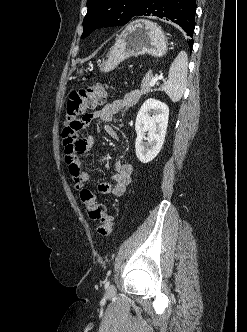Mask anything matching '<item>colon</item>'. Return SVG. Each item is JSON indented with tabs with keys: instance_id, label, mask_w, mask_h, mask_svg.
Masks as SVG:
<instances>
[{
	"instance_id": "1",
	"label": "colon",
	"mask_w": 247,
	"mask_h": 332,
	"mask_svg": "<svg viewBox=\"0 0 247 332\" xmlns=\"http://www.w3.org/2000/svg\"><path fill=\"white\" fill-rule=\"evenodd\" d=\"M108 89L106 84H96L70 93L66 102L64 138L77 133L86 125L85 112L103 104ZM80 196L89 218L98 222L97 232L102 236H108L113 230V217L108 214L103 204L97 202L92 190L85 188Z\"/></svg>"
}]
</instances>
